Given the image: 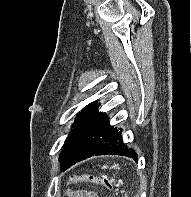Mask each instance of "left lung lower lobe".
Instances as JSON below:
<instances>
[{
	"instance_id": "obj_1",
	"label": "left lung lower lobe",
	"mask_w": 191,
	"mask_h": 197,
	"mask_svg": "<svg viewBox=\"0 0 191 197\" xmlns=\"http://www.w3.org/2000/svg\"><path fill=\"white\" fill-rule=\"evenodd\" d=\"M98 106V103H91L76 117L73 125L76 128L68 136L72 153L61 161L62 171L94 155H124L137 161L136 152L123 143L122 129L112 127L108 116L97 111Z\"/></svg>"
}]
</instances>
